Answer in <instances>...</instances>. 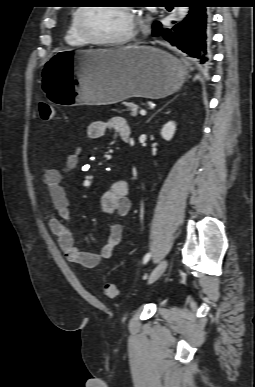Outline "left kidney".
Instances as JSON below:
<instances>
[{"mask_svg":"<svg viewBox=\"0 0 255 387\" xmlns=\"http://www.w3.org/2000/svg\"><path fill=\"white\" fill-rule=\"evenodd\" d=\"M175 131H176L175 123L173 121H169L163 126L161 130V136L164 140L170 141L173 138Z\"/></svg>","mask_w":255,"mask_h":387,"instance_id":"1","label":"left kidney"}]
</instances>
